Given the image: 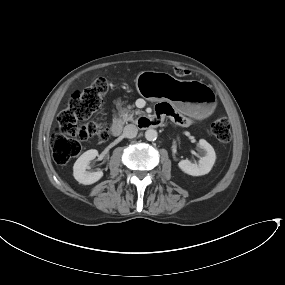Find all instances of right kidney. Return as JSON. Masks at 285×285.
Masks as SVG:
<instances>
[{
    "mask_svg": "<svg viewBox=\"0 0 285 285\" xmlns=\"http://www.w3.org/2000/svg\"><path fill=\"white\" fill-rule=\"evenodd\" d=\"M96 156H98V151L96 149H91L84 152L74 163L73 176L79 183L84 185H90L102 178V171H86L90 161L95 159Z\"/></svg>",
    "mask_w": 285,
    "mask_h": 285,
    "instance_id": "right-kidney-1",
    "label": "right kidney"
}]
</instances>
